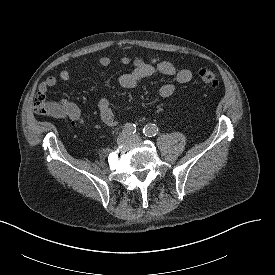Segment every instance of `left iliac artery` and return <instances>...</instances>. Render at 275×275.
I'll use <instances>...</instances> for the list:
<instances>
[{
  "mask_svg": "<svg viewBox=\"0 0 275 275\" xmlns=\"http://www.w3.org/2000/svg\"><path fill=\"white\" fill-rule=\"evenodd\" d=\"M159 132L158 127L155 124H147L143 128V134L147 137H153L156 136Z\"/></svg>",
  "mask_w": 275,
  "mask_h": 275,
  "instance_id": "left-iliac-artery-1",
  "label": "left iliac artery"
}]
</instances>
